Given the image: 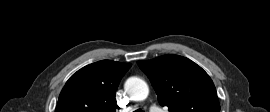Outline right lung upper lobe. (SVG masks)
<instances>
[{
	"label": "right lung upper lobe",
	"mask_w": 270,
	"mask_h": 112,
	"mask_svg": "<svg viewBox=\"0 0 270 112\" xmlns=\"http://www.w3.org/2000/svg\"><path fill=\"white\" fill-rule=\"evenodd\" d=\"M130 67L110 60L83 67L65 84L55 112H116L115 93Z\"/></svg>",
	"instance_id": "obj_1"
}]
</instances>
